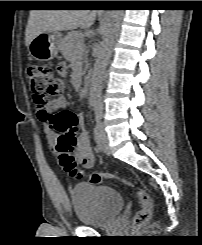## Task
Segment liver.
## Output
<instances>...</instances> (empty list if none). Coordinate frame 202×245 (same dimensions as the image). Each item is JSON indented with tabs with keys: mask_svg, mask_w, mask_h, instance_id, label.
Returning a JSON list of instances; mask_svg holds the SVG:
<instances>
[{
	"mask_svg": "<svg viewBox=\"0 0 202 245\" xmlns=\"http://www.w3.org/2000/svg\"><path fill=\"white\" fill-rule=\"evenodd\" d=\"M90 10H31L25 33V44L42 32L68 31L90 28L96 19Z\"/></svg>",
	"mask_w": 202,
	"mask_h": 245,
	"instance_id": "obj_1",
	"label": "liver"
}]
</instances>
